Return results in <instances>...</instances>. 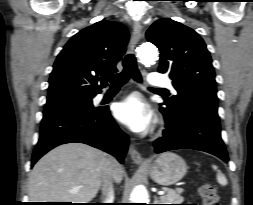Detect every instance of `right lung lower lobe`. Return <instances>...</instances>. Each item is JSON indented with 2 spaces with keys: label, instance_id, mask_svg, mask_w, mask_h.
<instances>
[{
  "label": "right lung lower lobe",
  "instance_id": "1",
  "mask_svg": "<svg viewBox=\"0 0 253 205\" xmlns=\"http://www.w3.org/2000/svg\"><path fill=\"white\" fill-rule=\"evenodd\" d=\"M71 142L101 149L123 163L129 138L115 123L108 107L95 110H47L43 112L40 137L32 155L31 166L49 150Z\"/></svg>",
  "mask_w": 253,
  "mask_h": 205
}]
</instances>
